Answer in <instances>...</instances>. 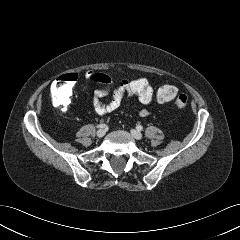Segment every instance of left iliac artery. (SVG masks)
<instances>
[{"label": "left iliac artery", "instance_id": "44dca946", "mask_svg": "<svg viewBox=\"0 0 240 240\" xmlns=\"http://www.w3.org/2000/svg\"><path fill=\"white\" fill-rule=\"evenodd\" d=\"M136 128L138 131H141L143 129V127L141 125H137Z\"/></svg>", "mask_w": 240, "mask_h": 240}]
</instances>
